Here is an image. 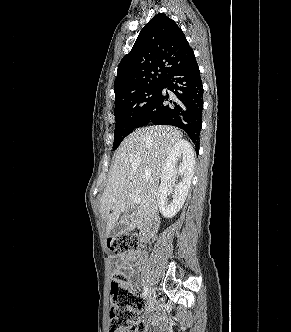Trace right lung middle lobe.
<instances>
[{"label":"right lung middle lobe","instance_id":"dd1d6c3e","mask_svg":"<svg viewBox=\"0 0 291 332\" xmlns=\"http://www.w3.org/2000/svg\"><path fill=\"white\" fill-rule=\"evenodd\" d=\"M161 85L162 82H156L115 100L113 148H117L121 141L138 127L144 113L157 98Z\"/></svg>","mask_w":291,"mask_h":332}]
</instances>
